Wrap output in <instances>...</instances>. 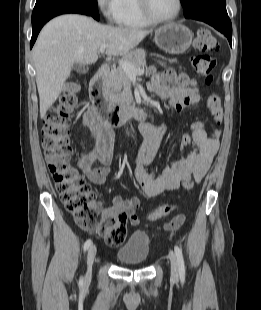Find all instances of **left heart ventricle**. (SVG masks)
I'll use <instances>...</instances> for the list:
<instances>
[{
	"mask_svg": "<svg viewBox=\"0 0 261 310\" xmlns=\"http://www.w3.org/2000/svg\"><path fill=\"white\" fill-rule=\"evenodd\" d=\"M152 14L157 18H168L172 16L177 8L176 0H149Z\"/></svg>",
	"mask_w": 261,
	"mask_h": 310,
	"instance_id": "1",
	"label": "left heart ventricle"
}]
</instances>
